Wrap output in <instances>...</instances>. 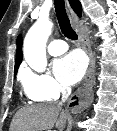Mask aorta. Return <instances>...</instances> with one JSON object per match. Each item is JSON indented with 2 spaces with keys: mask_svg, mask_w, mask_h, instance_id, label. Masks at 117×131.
Wrapping results in <instances>:
<instances>
[{
  "mask_svg": "<svg viewBox=\"0 0 117 131\" xmlns=\"http://www.w3.org/2000/svg\"><path fill=\"white\" fill-rule=\"evenodd\" d=\"M52 27L50 20L41 17L29 29L24 39V58L28 65L39 73L44 72L47 67L46 43Z\"/></svg>",
  "mask_w": 117,
  "mask_h": 131,
  "instance_id": "762f6f07",
  "label": "aorta"
}]
</instances>
